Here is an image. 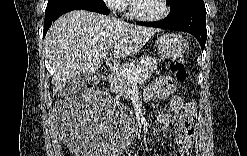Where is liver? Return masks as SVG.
I'll return each mask as SVG.
<instances>
[{"mask_svg":"<svg viewBox=\"0 0 247 156\" xmlns=\"http://www.w3.org/2000/svg\"><path fill=\"white\" fill-rule=\"evenodd\" d=\"M158 29L136 26L98 13L74 10L48 30L44 46L53 73V93L78 75L96 72L105 58L120 61L136 54Z\"/></svg>","mask_w":247,"mask_h":156,"instance_id":"liver-1","label":"liver"}]
</instances>
